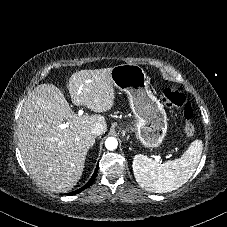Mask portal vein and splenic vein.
<instances>
[{"mask_svg":"<svg viewBox=\"0 0 227 227\" xmlns=\"http://www.w3.org/2000/svg\"><path fill=\"white\" fill-rule=\"evenodd\" d=\"M83 113H84L83 110L80 109L79 112H78V115H79V116H82ZM60 127H61L62 129H64V128H66V124H62ZM155 159H156L157 162H159L160 157L157 156Z\"/></svg>","mask_w":227,"mask_h":227,"instance_id":"1","label":"portal vein and splenic vein"}]
</instances>
